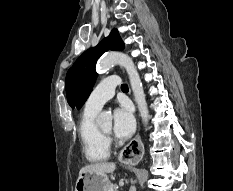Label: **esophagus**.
<instances>
[{
	"instance_id": "1",
	"label": "esophagus",
	"mask_w": 233,
	"mask_h": 191,
	"mask_svg": "<svg viewBox=\"0 0 233 191\" xmlns=\"http://www.w3.org/2000/svg\"><path fill=\"white\" fill-rule=\"evenodd\" d=\"M135 148V149H134ZM144 147L140 135L137 134L120 152L123 164H138L139 156L143 155Z\"/></svg>"
}]
</instances>
